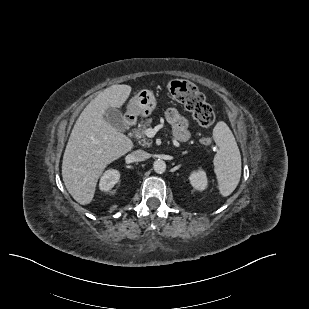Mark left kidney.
<instances>
[{"mask_svg": "<svg viewBox=\"0 0 309 309\" xmlns=\"http://www.w3.org/2000/svg\"><path fill=\"white\" fill-rule=\"evenodd\" d=\"M191 185L199 191H203L207 187V176L203 170L193 172L189 177Z\"/></svg>", "mask_w": 309, "mask_h": 309, "instance_id": "obj_1", "label": "left kidney"}]
</instances>
